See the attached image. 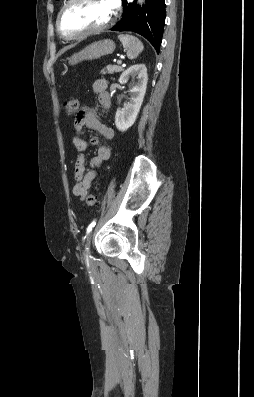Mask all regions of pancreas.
Returning <instances> with one entry per match:
<instances>
[{"instance_id":"pancreas-1","label":"pancreas","mask_w":254,"mask_h":397,"mask_svg":"<svg viewBox=\"0 0 254 397\" xmlns=\"http://www.w3.org/2000/svg\"><path fill=\"white\" fill-rule=\"evenodd\" d=\"M123 71V68L121 66H116V65H107L106 68H104L101 73L102 74H114L117 72Z\"/></svg>"}]
</instances>
